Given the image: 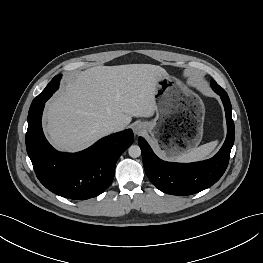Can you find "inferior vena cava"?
Here are the masks:
<instances>
[{
	"mask_svg": "<svg viewBox=\"0 0 263 263\" xmlns=\"http://www.w3.org/2000/svg\"><path fill=\"white\" fill-rule=\"evenodd\" d=\"M105 127L109 132H116L121 129V126L117 121H110L105 124Z\"/></svg>",
	"mask_w": 263,
	"mask_h": 263,
	"instance_id": "obj_1",
	"label": "inferior vena cava"
}]
</instances>
